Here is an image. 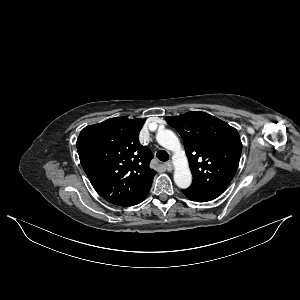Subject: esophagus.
Returning <instances> with one entry per match:
<instances>
[{"label":"esophagus","instance_id":"obj_1","mask_svg":"<svg viewBox=\"0 0 300 300\" xmlns=\"http://www.w3.org/2000/svg\"><path fill=\"white\" fill-rule=\"evenodd\" d=\"M164 165L168 171L172 170V163L170 161L166 162Z\"/></svg>","mask_w":300,"mask_h":300}]
</instances>
